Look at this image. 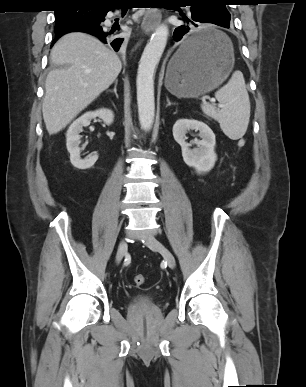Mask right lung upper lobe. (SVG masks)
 Returning <instances> with one entry per match:
<instances>
[{"instance_id":"right-lung-upper-lobe-1","label":"right lung upper lobe","mask_w":306,"mask_h":387,"mask_svg":"<svg viewBox=\"0 0 306 387\" xmlns=\"http://www.w3.org/2000/svg\"><path fill=\"white\" fill-rule=\"evenodd\" d=\"M60 1V9L68 8L72 5H82L86 7H94L100 9H107L112 7L117 0H59ZM73 27V26H70ZM68 27V28H70ZM66 28V29H68Z\"/></svg>"}]
</instances>
